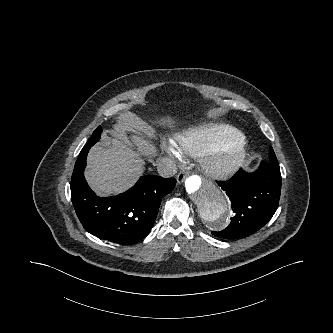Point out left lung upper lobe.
<instances>
[{
    "instance_id": "obj_1",
    "label": "left lung upper lobe",
    "mask_w": 333,
    "mask_h": 333,
    "mask_svg": "<svg viewBox=\"0 0 333 333\" xmlns=\"http://www.w3.org/2000/svg\"><path fill=\"white\" fill-rule=\"evenodd\" d=\"M269 157H270V163H272L274 165H278L277 158H276L275 153L272 148H270Z\"/></svg>"
}]
</instances>
